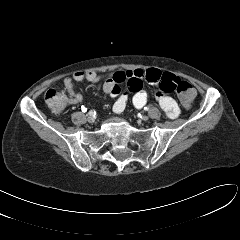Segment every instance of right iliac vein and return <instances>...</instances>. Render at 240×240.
Returning a JSON list of instances; mask_svg holds the SVG:
<instances>
[{"mask_svg": "<svg viewBox=\"0 0 240 240\" xmlns=\"http://www.w3.org/2000/svg\"><path fill=\"white\" fill-rule=\"evenodd\" d=\"M87 120H88L89 123H93L95 121L93 115H90V114L88 115Z\"/></svg>", "mask_w": 240, "mask_h": 240, "instance_id": "1", "label": "right iliac vein"}]
</instances>
